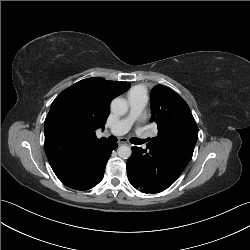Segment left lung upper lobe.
<instances>
[{
  "mask_svg": "<svg viewBox=\"0 0 250 250\" xmlns=\"http://www.w3.org/2000/svg\"><path fill=\"white\" fill-rule=\"evenodd\" d=\"M151 121L158 127V135L149 143L155 147L173 143L183 155L190 150L193 153L198 139V127L189 106L172 89L157 85L151 92Z\"/></svg>",
  "mask_w": 250,
  "mask_h": 250,
  "instance_id": "obj_1",
  "label": "left lung upper lobe"
}]
</instances>
